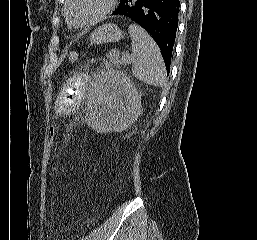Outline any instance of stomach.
I'll list each match as a JSON object with an SVG mask.
<instances>
[{
    "instance_id": "stomach-1",
    "label": "stomach",
    "mask_w": 257,
    "mask_h": 240,
    "mask_svg": "<svg viewBox=\"0 0 257 240\" xmlns=\"http://www.w3.org/2000/svg\"><path fill=\"white\" fill-rule=\"evenodd\" d=\"M123 38V33L115 24H104L96 28L90 35L91 44H102L108 42H117Z\"/></svg>"
}]
</instances>
